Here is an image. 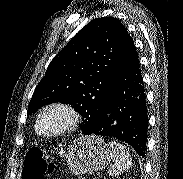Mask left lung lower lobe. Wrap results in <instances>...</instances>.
I'll list each match as a JSON object with an SVG mask.
<instances>
[{"mask_svg":"<svg viewBox=\"0 0 183 179\" xmlns=\"http://www.w3.org/2000/svg\"><path fill=\"white\" fill-rule=\"evenodd\" d=\"M148 113L139 59L130 35L112 83L109 98L87 134L116 138L145 156Z\"/></svg>","mask_w":183,"mask_h":179,"instance_id":"0a47b994","label":"left lung lower lobe"}]
</instances>
